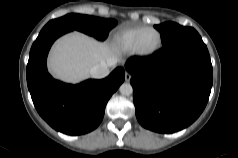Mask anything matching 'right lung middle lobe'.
Masks as SVG:
<instances>
[{"label":"right lung middle lobe","instance_id":"1","mask_svg":"<svg viewBox=\"0 0 238 158\" xmlns=\"http://www.w3.org/2000/svg\"><path fill=\"white\" fill-rule=\"evenodd\" d=\"M116 24L117 21L113 19H103L81 14H68L61 18L49 21L42 31L51 28H67L69 30L84 32L99 40H104L108 36L109 31Z\"/></svg>","mask_w":238,"mask_h":158}]
</instances>
